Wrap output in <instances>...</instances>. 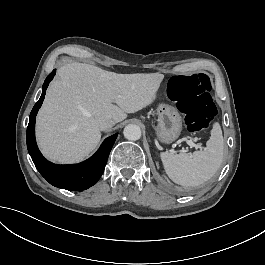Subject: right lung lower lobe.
Returning a JSON list of instances; mask_svg holds the SVG:
<instances>
[{"mask_svg":"<svg viewBox=\"0 0 265 265\" xmlns=\"http://www.w3.org/2000/svg\"><path fill=\"white\" fill-rule=\"evenodd\" d=\"M55 71L53 70L47 76L42 87V95L30 113L26 134L27 148L37 170L50 184L72 191L85 190L94 185L101 177L117 134L108 137L91 158L79 164L57 165L42 156L35 141V119Z\"/></svg>","mask_w":265,"mask_h":265,"instance_id":"98d812e1","label":"right lung lower lobe"}]
</instances>
